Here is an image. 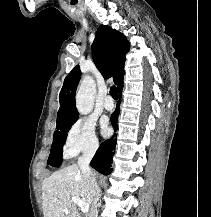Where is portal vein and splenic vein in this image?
<instances>
[{"instance_id":"18ae733b","label":"portal vein and splenic vein","mask_w":211,"mask_h":217,"mask_svg":"<svg viewBox=\"0 0 211 217\" xmlns=\"http://www.w3.org/2000/svg\"><path fill=\"white\" fill-rule=\"evenodd\" d=\"M71 202H73L74 204L78 205L81 208V211L83 213H88L89 211V205L84 203L80 198L78 197H72L71 198Z\"/></svg>"}]
</instances>
